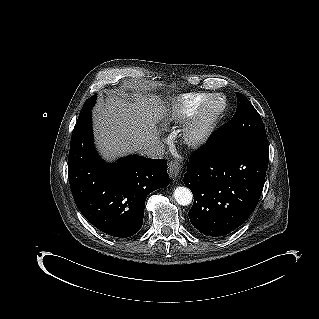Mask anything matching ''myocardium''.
I'll use <instances>...</instances> for the list:
<instances>
[{
  "label": "myocardium",
  "mask_w": 319,
  "mask_h": 319,
  "mask_svg": "<svg viewBox=\"0 0 319 319\" xmlns=\"http://www.w3.org/2000/svg\"><path fill=\"white\" fill-rule=\"evenodd\" d=\"M220 102L219 107L210 112L214 102ZM227 108L226 100L221 94H210L188 118L182 129V140L189 147H200L205 144L216 129Z\"/></svg>",
  "instance_id": "myocardium-1"
}]
</instances>
